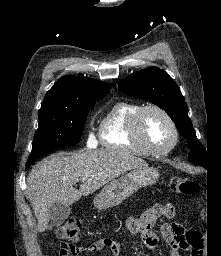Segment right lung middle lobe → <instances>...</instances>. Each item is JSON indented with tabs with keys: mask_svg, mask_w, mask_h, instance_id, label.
I'll return each instance as SVG.
<instances>
[{
	"mask_svg": "<svg viewBox=\"0 0 221 256\" xmlns=\"http://www.w3.org/2000/svg\"><path fill=\"white\" fill-rule=\"evenodd\" d=\"M102 96L77 102L74 109L39 112V128L35 132L26 169L39 157L63 146H73L81 139L88 111Z\"/></svg>",
	"mask_w": 221,
	"mask_h": 256,
	"instance_id": "obj_1",
	"label": "right lung middle lobe"
}]
</instances>
